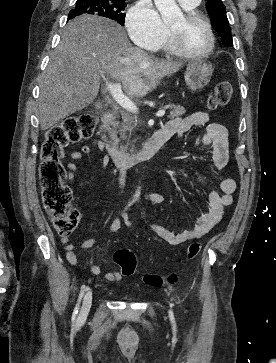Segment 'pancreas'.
<instances>
[{"label": "pancreas", "instance_id": "cf45deb5", "mask_svg": "<svg viewBox=\"0 0 276 363\" xmlns=\"http://www.w3.org/2000/svg\"><path fill=\"white\" fill-rule=\"evenodd\" d=\"M168 108L172 109L169 114V118L173 119L175 117H179L183 114H185L186 110L184 107L180 105H175L172 103H169L167 105ZM128 122L126 124H123L121 127H119V122L115 121L112 123V127L109 128V135L114 141V145L118 146L120 140L117 137V134L120 133L122 135V139L126 138V132L129 131L130 133L133 131V129L137 126V118H133L128 116L127 117ZM119 128V130H117Z\"/></svg>", "mask_w": 276, "mask_h": 363}]
</instances>
